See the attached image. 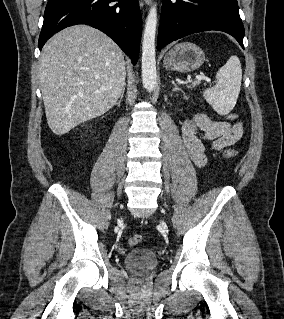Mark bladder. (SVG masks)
<instances>
[{"label": "bladder", "instance_id": "bladder-1", "mask_svg": "<svg viewBox=\"0 0 284 319\" xmlns=\"http://www.w3.org/2000/svg\"><path fill=\"white\" fill-rule=\"evenodd\" d=\"M125 267L133 273L145 274L153 270L158 264L155 252L150 249H135L124 256Z\"/></svg>", "mask_w": 284, "mask_h": 319}]
</instances>
